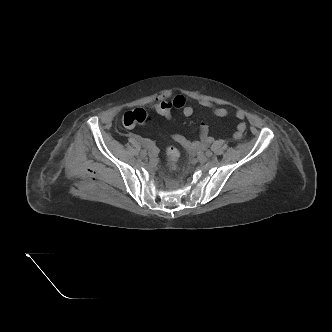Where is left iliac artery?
<instances>
[{
    "label": "left iliac artery",
    "instance_id": "left-iliac-artery-1",
    "mask_svg": "<svg viewBox=\"0 0 332 332\" xmlns=\"http://www.w3.org/2000/svg\"><path fill=\"white\" fill-rule=\"evenodd\" d=\"M205 154H206V156H207V157H211V156H212V152H211V151H209V150H208V151H206V152H205Z\"/></svg>",
    "mask_w": 332,
    "mask_h": 332
}]
</instances>
